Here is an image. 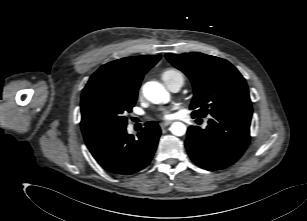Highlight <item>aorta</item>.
Instances as JSON below:
<instances>
[{
  "label": "aorta",
  "mask_w": 307,
  "mask_h": 221,
  "mask_svg": "<svg viewBox=\"0 0 307 221\" xmlns=\"http://www.w3.org/2000/svg\"><path fill=\"white\" fill-rule=\"evenodd\" d=\"M143 94L147 100L154 104L167 103L170 99V95L163 85L155 81L147 82L143 86ZM186 129V125L182 122H174L170 127V131L175 136L184 135Z\"/></svg>",
  "instance_id": "762f6f07"
}]
</instances>
